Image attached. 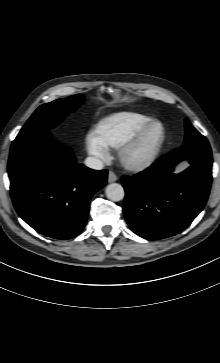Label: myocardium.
<instances>
[{
  "label": "myocardium",
  "mask_w": 220,
  "mask_h": 363,
  "mask_svg": "<svg viewBox=\"0 0 220 363\" xmlns=\"http://www.w3.org/2000/svg\"><path fill=\"white\" fill-rule=\"evenodd\" d=\"M153 136V138H151ZM166 140V128L160 121H152L127 141L118 150V159L121 164L130 170H143L155 163ZM147 144L143 154L136 156L135 152Z\"/></svg>",
  "instance_id": "1"
}]
</instances>
